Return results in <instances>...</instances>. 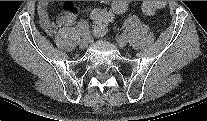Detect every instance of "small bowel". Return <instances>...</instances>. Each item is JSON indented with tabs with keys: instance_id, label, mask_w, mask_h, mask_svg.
<instances>
[{
	"instance_id": "1",
	"label": "small bowel",
	"mask_w": 207,
	"mask_h": 121,
	"mask_svg": "<svg viewBox=\"0 0 207 121\" xmlns=\"http://www.w3.org/2000/svg\"><path fill=\"white\" fill-rule=\"evenodd\" d=\"M48 7V1H40L37 5L40 26L48 35L53 36L59 28L69 27L75 23L77 7L74 2L67 1L65 3L64 11L55 20L49 16Z\"/></svg>"
}]
</instances>
